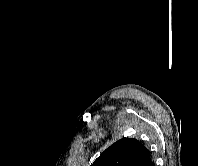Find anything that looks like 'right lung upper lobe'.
<instances>
[{
	"label": "right lung upper lobe",
	"instance_id": "right-lung-upper-lobe-1",
	"mask_svg": "<svg viewBox=\"0 0 198 166\" xmlns=\"http://www.w3.org/2000/svg\"><path fill=\"white\" fill-rule=\"evenodd\" d=\"M149 150L137 139H120L108 147L91 166H150Z\"/></svg>",
	"mask_w": 198,
	"mask_h": 166
}]
</instances>
